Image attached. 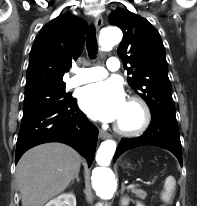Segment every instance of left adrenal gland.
I'll list each match as a JSON object with an SVG mask.
<instances>
[{
  "instance_id": "obj_1",
  "label": "left adrenal gland",
  "mask_w": 197,
  "mask_h": 206,
  "mask_svg": "<svg viewBox=\"0 0 197 206\" xmlns=\"http://www.w3.org/2000/svg\"><path fill=\"white\" fill-rule=\"evenodd\" d=\"M125 189H127V188L125 187L124 183H122V185H121V193H123V191H124ZM127 191H128V189H127Z\"/></svg>"
}]
</instances>
